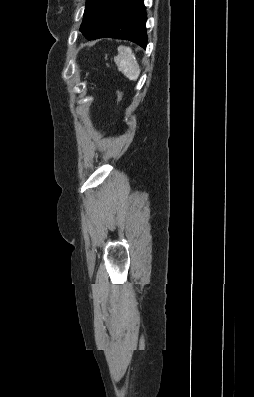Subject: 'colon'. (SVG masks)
Wrapping results in <instances>:
<instances>
[{"label": "colon", "instance_id": "5ec220e1", "mask_svg": "<svg viewBox=\"0 0 254 397\" xmlns=\"http://www.w3.org/2000/svg\"><path fill=\"white\" fill-rule=\"evenodd\" d=\"M122 99V93L118 90L116 91V103H119Z\"/></svg>", "mask_w": 254, "mask_h": 397}]
</instances>
